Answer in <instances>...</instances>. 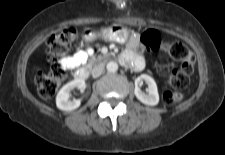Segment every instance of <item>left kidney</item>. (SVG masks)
<instances>
[{
  "mask_svg": "<svg viewBox=\"0 0 225 155\" xmlns=\"http://www.w3.org/2000/svg\"><path fill=\"white\" fill-rule=\"evenodd\" d=\"M142 81H145L148 85V94L143 93L139 88V85L142 83ZM134 93L137 99L143 104L155 106L159 103V94L156 82L147 74H142L135 80Z\"/></svg>",
  "mask_w": 225,
  "mask_h": 155,
  "instance_id": "1",
  "label": "left kidney"
}]
</instances>
